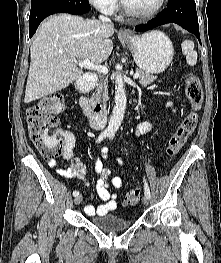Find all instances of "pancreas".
<instances>
[{
  "label": "pancreas",
  "mask_w": 221,
  "mask_h": 263,
  "mask_svg": "<svg viewBox=\"0 0 221 263\" xmlns=\"http://www.w3.org/2000/svg\"><path fill=\"white\" fill-rule=\"evenodd\" d=\"M136 73H139V83L142 86H147L151 84L154 80H156V76L147 73L143 70H136ZM160 82V81H159ZM92 99L96 102H101L105 105L108 101V89H107V79L103 78L98 84L96 89V94L93 95Z\"/></svg>",
  "instance_id": "1"
}]
</instances>
